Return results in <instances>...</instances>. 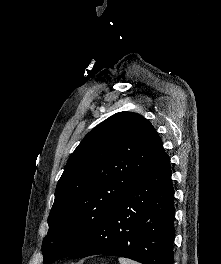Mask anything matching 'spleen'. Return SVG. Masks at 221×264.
<instances>
[{"instance_id": "3e777b00", "label": "spleen", "mask_w": 221, "mask_h": 264, "mask_svg": "<svg viewBox=\"0 0 221 264\" xmlns=\"http://www.w3.org/2000/svg\"><path fill=\"white\" fill-rule=\"evenodd\" d=\"M119 262H120V264H139V263H137L135 261H132L130 259H126V258H123V257L119 258Z\"/></svg>"}]
</instances>
